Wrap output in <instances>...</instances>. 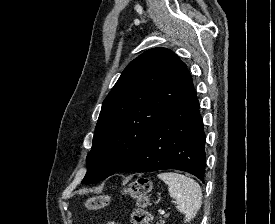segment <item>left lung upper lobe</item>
<instances>
[{
	"label": "left lung upper lobe",
	"mask_w": 275,
	"mask_h": 224,
	"mask_svg": "<svg viewBox=\"0 0 275 224\" xmlns=\"http://www.w3.org/2000/svg\"><path fill=\"white\" fill-rule=\"evenodd\" d=\"M191 85L186 65L166 48L131 61L102 104L82 182L127 172L155 126Z\"/></svg>",
	"instance_id": "1"
}]
</instances>
